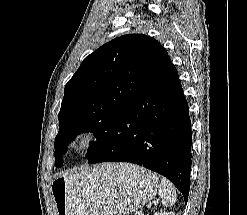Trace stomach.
I'll list each match as a JSON object with an SVG mask.
<instances>
[{
	"label": "stomach",
	"mask_w": 247,
	"mask_h": 215,
	"mask_svg": "<svg viewBox=\"0 0 247 215\" xmlns=\"http://www.w3.org/2000/svg\"><path fill=\"white\" fill-rule=\"evenodd\" d=\"M100 165L51 183L57 215H126L156 194L157 176L131 164H112L109 172Z\"/></svg>",
	"instance_id": "stomach-1"
}]
</instances>
